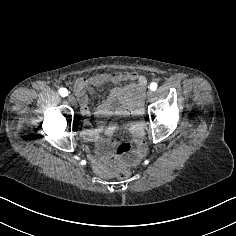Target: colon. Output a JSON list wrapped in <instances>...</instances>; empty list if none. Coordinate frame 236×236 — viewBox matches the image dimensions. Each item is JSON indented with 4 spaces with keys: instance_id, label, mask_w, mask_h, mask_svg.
Segmentation results:
<instances>
[{
    "instance_id": "colon-1",
    "label": "colon",
    "mask_w": 236,
    "mask_h": 236,
    "mask_svg": "<svg viewBox=\"0 0 236 236\" xmlns=\"http://www.w3.org/2000/svg\"><path fill=\"white\" fill-rule=\"evenodd\" d=\"M132 175L131 171L127 170V169H121L116 173V177L119 180H126L128 178H130Z\"/></svg>"
}]
</instances>
